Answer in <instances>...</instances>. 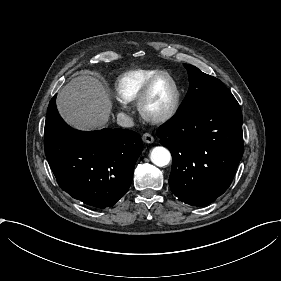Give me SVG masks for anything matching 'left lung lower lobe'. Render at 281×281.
Wrapping results in <instances>:
<instances>
[{
  "label": "left lung lower lobe",
  "instance_id": "1",
  "mask_svg": "<svg viewBox=\"0 0 281 281\" xmlns=\"http://www.w3.org/2000/svg\"><path fill=\"white\" fill-rule=\"evenodd\" d=\"M157 135L172 154L169 184L179 200L208 205L230 186L243 154L236 100L178 112Z\"/></svg>",
  "mask_w": 281,
  "mask_h": 281
}]
</instances>
